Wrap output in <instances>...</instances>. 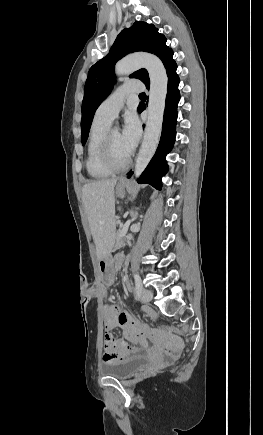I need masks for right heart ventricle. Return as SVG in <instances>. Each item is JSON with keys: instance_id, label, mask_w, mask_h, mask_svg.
I'll use <instances>...</instances> for the list:
<instances>
[{"instance_id": "1", "label": "right heart ventricle", "mask_w": 263, "mask_h": 435, "mask_svg": "<svg viewBox=\"0 0 263 435\" xmlns=\"http://www.w3.org/2000/svg\"><path fill=\"white\" fill-rule=\"evenodd\" d=\"M111 122L94 117L86 149L85 167L88 175L93 179L109 177L113 172L107 169L100 160V147L105 133L109 130Z\"/></svg>"}]
</instances>
